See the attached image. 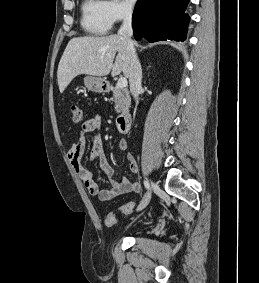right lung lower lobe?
I'll use <instances>...</instances> for the list:
<instances>
[{"mask_svg": "<svg viewBox=\"0 0 259 283\" xmlns=\"http://www.w3.org/2000/svg\"><path fill=\"white\" fill-rule=\"evenodd\" d=\"M189 0H138L132 17L134 38L149 42L184 41L189 23Z\"/></svg>", "mask_w": 259, "mask_h": 283, "instance_id": "1", "label": "right lung lower lobe"}]
</instances>
